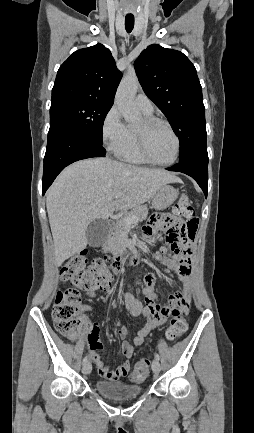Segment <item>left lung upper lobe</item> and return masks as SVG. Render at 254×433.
I'll return each mask as SVG.
<instances>
[{
    "label": "left lung upper lobe",
    "mask_w": 254,
    "mask_h": 433,
    "mask_svg": "<svg viewBox=\"0 0 254 433\" xmlns=\"http://www.w3.org/2000/svg\"><path fill=\"white\" fill-rule=\"evenodd\" d=\"M146 95L169 120L180 141V160L208 156L205 107L196 69L180 51L150 45L134 63Z\"/></svg>",
    "instance_id": "obj_1"
}]
</instances>
